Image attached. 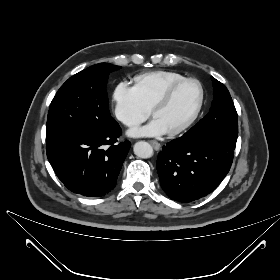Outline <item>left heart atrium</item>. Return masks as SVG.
Segmentation results:
<instances>
[{
    "label": "left heart atrium",
    "instance_id": "39dd6f15",
    "mask_svg": "<svg viewBox=\"0 0 280 280\" xmlns=\"http://www.w3.org/2000/svg\"><path fill=\"white\" fill-rule=\"evenodd\" d=\"M166 131L160 125V123L153 119L149 124L139 128H133L127 132L131 137H152L163 135Z\"/></svg>",
    "mask_w": 280,
    "mask_h": 280
}]
</instances>
